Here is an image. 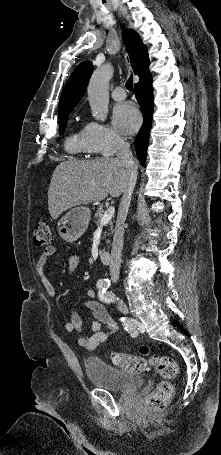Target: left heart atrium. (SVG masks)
<instances>
[{"label": "left heart atrium", "mask_w": 221, "mask_h": 455, "mask_svg": "<svg viewBox=\"0 0 221 455\" xmlns=\"http://www.w3.org/2000/svg\"><path fill=\"white\" fill-rule=\"evenodd\" d=\"M113 123L124 134H133L141 123V115L136 107L129 103L118 104L113 109Z\"/></svg>", "instance_id": "39dd6f15"}]
</instances>
